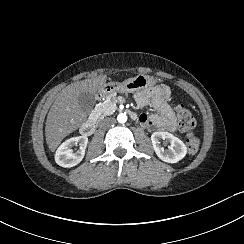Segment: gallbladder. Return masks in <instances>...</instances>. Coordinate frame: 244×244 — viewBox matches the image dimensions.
<instances>
[{
	"instance_id": "obj_1",
	"label": "gallbladder",
	"mask_w": 244,
	"mask_h": 244,
	"mask_svg": "<svg viewBox=\"0 0 244 244\" xmlns=\"http://www.w3.org/2000/svg\"><path fill=\"white\" fill-rule=\"evenodd\" d=\"M78 103L81 110L88 115L96 103V96L94 93L82 92L78 95Z\"/></svg>"
}]
</instances>
